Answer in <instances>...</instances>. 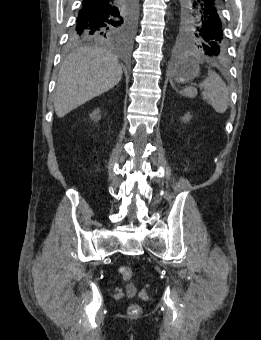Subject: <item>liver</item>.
<instances>
[{
    "label": "liver",
    "instance_id": "liver-1",
    "mask_svg": "<svg viewBox=\"0 0 261 340\" xmlns=\"http://www.w3.org/2000/svg\"><path fill=\"white\" fill-rule=\"evenodd\" d=\"M122 68L117 57L101 47L84 46L63 62L56 85L54 108L62 118L75 108L119 83Z\"/></svg>",
    "mask_w": 261,
    "mask_h": 340
}]
</instances>
